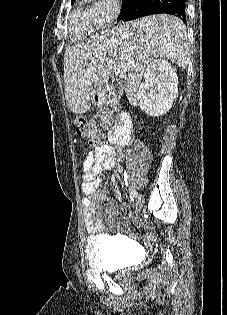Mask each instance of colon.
<instances>
[{
	"label": "colon",
	"instance_id": "colon-1",
	"mask_svg": "<svg viewBox=\"0 0 227 315\" xmlns=\"http://www.w3.org/2000/svg\"><path fill=\"white\" fill-rule=\"evenodd\" d=\"M74 124L77 134L81 137H85L90 146H97L103 142V136L92 120L83 116H77L74 120Z\"/></svg>",
	"mask_w": 227,
	"mask_h": 315
}]
</instances>
